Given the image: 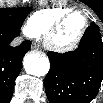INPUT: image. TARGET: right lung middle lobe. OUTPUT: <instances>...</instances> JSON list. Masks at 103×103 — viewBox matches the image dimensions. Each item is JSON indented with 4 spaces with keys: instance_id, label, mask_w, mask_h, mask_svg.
<instances>
[{
    "instance_id": "right-lung-middle-lobe-1",
    "label": "right lung middle lobe",
    "mask_w": 103,
    "mask_h": 103,
    "mask_svg": "<svg viewBox=\"0 0 103 103\" xmlns=\"http://www.w3.org/2000/svg\"><path fill=\"white\" fill-rule=\"evenodd\" d=\"M29 7L23 8H1L0 9V27L18 30L30 13Z\"/></svg>"
}]
</instances>
